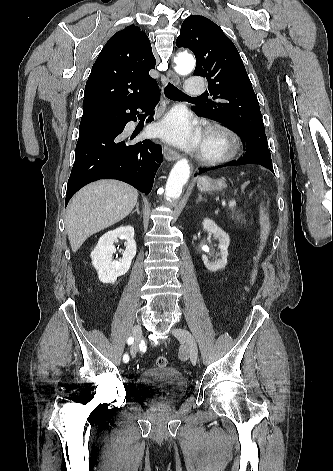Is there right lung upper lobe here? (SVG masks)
<instances>
[{"label": "right lung upper lobe", "mask_w": 333, "mask_h": 471, "mask_svg": "<svg viewBox=\"0 0 333 471\" xmlns=\"http://www.w3.org/2000/svg\"><path fill=\"white\" fill-rule=\"evenodd\" d=\"M155 57L147 35L130 25L113 35L100 52L85 86L82 119L138 100L154 89L149 76Z\"/></svg>", "instance_id": "obj_1"}]
</instances>
